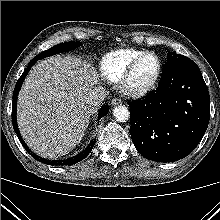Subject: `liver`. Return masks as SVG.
Wrapping results in <instances>:
<instances>
[{
  "label": "liver",
  "instance_id": "liver-1",
  "mask_svg": "<svg viewBox=\"0 0 220 220\" xmlns=\"http://www.w3.org/2000/svg\"><path fill=\"white\" fill-rule=\"evenodd\" d=\"M98 82L91 64L76 57L56 55L36 64L17 106L18 127L29 148L50 159L72 151L94 113L88 100Z\"/></svg>",
  "mask_w": 220,
  "mask_h": 220
}]
</instances>
